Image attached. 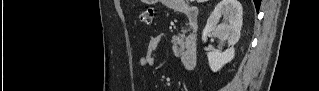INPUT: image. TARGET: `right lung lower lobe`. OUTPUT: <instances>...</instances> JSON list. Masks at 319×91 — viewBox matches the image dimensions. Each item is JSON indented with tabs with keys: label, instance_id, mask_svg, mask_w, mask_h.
I'll return each instance as SVG.
<instances>
[{
	"label": "right lung lower lobe",
	"instance_id": "obj_1",
	"mask_svg": "<svg viewBox=\"0 0 319 91\" xmlns=\"http://www.w3.org/2000/svg\"><path fill=\"white\" fill-rule=\"evenodd\" d=\"M253 1H254L256 10L258 11V10H259V7H260L261 0H253Z\"/></svg>",
	"mask_w": 319,
	"mask_h": 91
}]
</instances>
